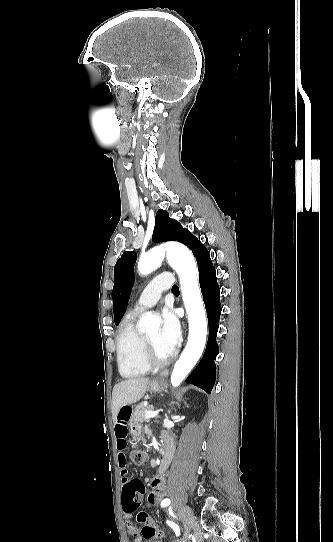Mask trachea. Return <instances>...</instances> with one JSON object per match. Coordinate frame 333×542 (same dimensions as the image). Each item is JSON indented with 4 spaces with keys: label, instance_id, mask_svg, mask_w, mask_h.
Returning a JSON list of instances; mask_svg holds the SVG:
<instances>
[{
    "label": "trachea",
    "instance_id": "3493384b",
    "mask_svg": "<svg viewBox=\"0 0 333 542\" xmlns=\"http://www.w3.org/2000/svg\"><path fill=\"white\" fill-rule=\"evenodd\" d=\"M174 290H179V288L177 287V285H173L172 291H174Z\"/></svg>",
    "mask_w": 333,
    "mask_h": 542
}]
</instances>
